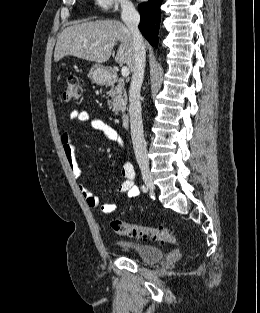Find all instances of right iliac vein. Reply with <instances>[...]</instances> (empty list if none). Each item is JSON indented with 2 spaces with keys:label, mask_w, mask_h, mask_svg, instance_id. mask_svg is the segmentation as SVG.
Listing matches in <instances>:
<instances>
[{
  "label": "right iliac vein",
  "mask_w": 260,
  "mask_h": 313,
  "mask_svg": "<svg viewBox=\"0 0 260 313\" xmlns=\"http://www.w3.org/2000/svg\"><path fill=\"white\" fill-rule=\"evenodd\" d=\"M141 174L144 183L150 190H154V182H153V177L152 174L150 173L148 168H142L141 169Z\"/></svg>",
  "instance_id": "obj_1"
}]
</instances>
